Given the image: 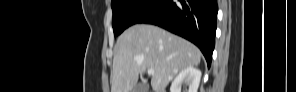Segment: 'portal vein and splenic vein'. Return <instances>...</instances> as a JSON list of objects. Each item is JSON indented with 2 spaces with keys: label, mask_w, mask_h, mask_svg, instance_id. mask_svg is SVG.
<instances>
[{
  "label": "portal vein and splenic vein",
  "mask_w": 296,
  "mask_h": 92,
  "mask_svg": "<svg viewBox=\"0 0 296 92\" xmlns=\"http://www.w3.org/2000/svg\"><path fill=\"white\" fill-rule=\"evenodd\" d=\"M148 75H153L154 74V69H148Z\"/></svg>",
  "instance_id": "1"
}]
</instances>
